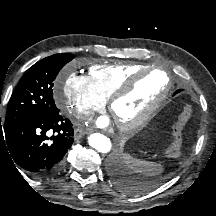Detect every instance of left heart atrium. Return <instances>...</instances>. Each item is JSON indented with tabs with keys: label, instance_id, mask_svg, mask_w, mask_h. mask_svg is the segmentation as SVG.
Here are the masks:
<instances>
[{
	"label": "left heart atrium",
	"instance_id": "39dd6f15",
	"mask_svg": "<svg viewBox=\"0 0 216 216\" xmlns=\"http://www.w3.org/2000/svg\"><path fill=\"white\" fill-rule=\"evenodd\" d=\"M97 124L100 127H105V126L108 125V119L105 118V117H101V118L98 119Z\"/></svg>",
	"mask_w": 216,
	"mask_h": 216
}]
</instances>
